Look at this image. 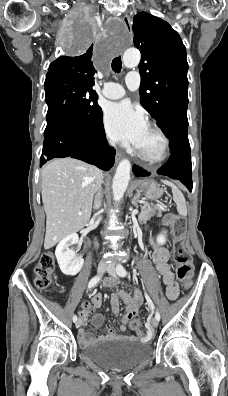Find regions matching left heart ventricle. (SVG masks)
<instances>
[{
  "label": "left heart ventricle",
  "mask_w": 228,
  "mask_h": 396,
  "mask_svg": "<svg viewBox=\"0 0 228 396\" xmlns=\"http://www.w3.org/2000/svg\"><path fill=\"white\" fill-rule=\"evenodd\" d=\"M137 148L144 154L155 157L161 152L162 141L156 133L147 127Z\"/></svg>",
  "instance_id": "b2bd125f"
}]
</instances>
